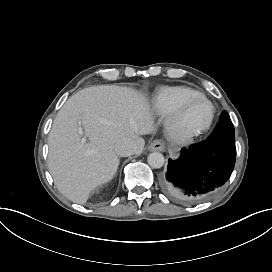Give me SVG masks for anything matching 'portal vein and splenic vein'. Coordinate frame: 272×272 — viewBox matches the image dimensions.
Instances as JSON below:
<instances>
[{
    "label": "portal vein and splenic vein",
    "mask_w": 272,
    "mask_h": 272,
    "mask_svg": "<svg viewBox=\"0 0 272 272\" xmlns=\"http://www.w3.org/2000/svg\"><path fill=\"white\" fill-rule=\"evenodd\" d=\"M78 130H79L80 132H82V127H81V125H79Z\"/></svg>",
    "instance_id": "portal-vein-and-splenic-vein-1"
}]
</instances>
